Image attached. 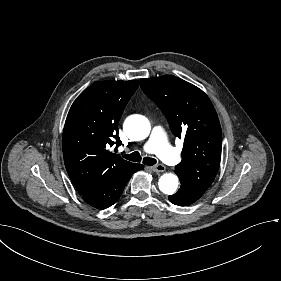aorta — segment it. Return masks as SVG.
<instances>
[{
	"instance_id": "aorta-1",
	"label": "aorta",
	"mask_w": 281,
	"mask_h": 281,
	"mask_svg": "<svg viewBox=\"0 0 281 281\" xmlns=\"http://www.w3.org/2000/svg\"><path fill=\"white\" fill-rule=\"evenodd\" d=\"M124 129L134 140H143L148 137L151 126L147 118L141 115L130 117L124 124ZM161 192L172 195L178 187V177L173 173L163 174L158 182Z\"/></svg>"
}]
</instances>
